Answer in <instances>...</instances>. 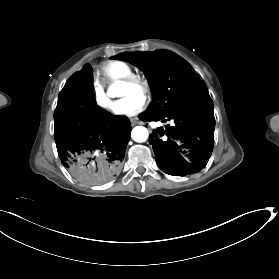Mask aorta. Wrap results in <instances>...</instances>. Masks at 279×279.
Segmentation results:
<instances>
[{"mask_svg":"<svg viewBox=\"0 0 279 279\" xmlns=\"http://www.w3.org/2000/svg\"><path fill=\"white\" fill-rule=\"evenodd\" d=\"M124 84L117 81L110 85L107 90V95L111 98L120 97L123 95ZM149 133L146 127L136 126L131 131V137L136 142H145L148 139Z\"/></svg>","mask_w":279,"mask_h":279,"instance_id":"obj_1","label":"aorta"}]
</instances>
